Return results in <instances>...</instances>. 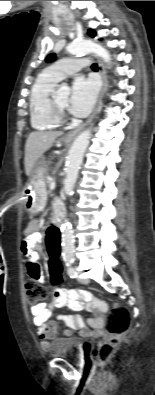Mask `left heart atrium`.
Here are the masks:
<instances>
[{"instance_id": "39dd6f15", "label": "left heart atrium", "mask_w": 155, "mask_h": 395, "mask_svg": "<svg viewBox=\"0 0 155 395\" xmlns=\"http://www.w3.org/2000/svg\"><path fill=\"white\" fill-rule=\"evenodd\" d=\"M98 91V84L93 78H77L71 90V96L68 102L69 111L77 116L84 117L92 109Z\"/></svg>"}]
</instances>
